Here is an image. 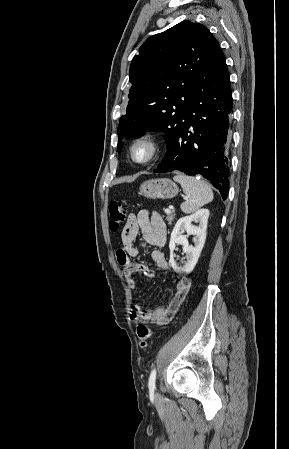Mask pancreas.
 <instances>
[{"instance_id": "cf45deb5", "label": "pancreas", "mask_w": 289, "mask_h": 449, "mask_svg": "<svg viewBox=\"0 0 289 449\" xmlns=\"http://www.w3.org/2000/svg\"><path fill=\"white\" fill-rule=\"evenodd\" d=\"M174 211H171L170 213L166 214V220L168 221V224H172L173 220H174Z\"/></svg>"}]
</instances>
